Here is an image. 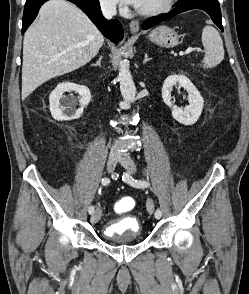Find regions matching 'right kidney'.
<instances>
[{"instance_id":"1","label":"right kidney","mask_w":249,"mask_h":294,"mask_svg":"<svg viewBox=\"0 0 249 294\" xmlns=\"http://www.w3.org/2000/svg\"><path fill=\"white\" fill-rule=\"evenodd\" d=\"M71 91H75L80 95V108L78 109H75V99L63 96L64 92ZM90 100L91 93L88 87L75 83L63 82L58 84L57 87L51 92L49 97V109L55 120L63 121L78 119L82 115L84 108L89 104Z\"/></svg>"}]
</instances>
